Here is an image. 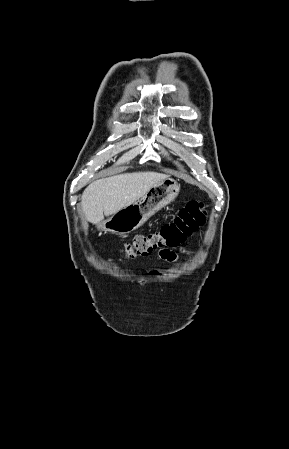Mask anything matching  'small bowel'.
I'll use <instances>...</instances> for the list:
<instances>
[{
	"label": "small bowel",
	"mask_w": 289,
	"mask_h": 449,
	"mask_svg": "<svg viewBox=\"0 0 289 449\" xmlns=\"http://www.w3.org/2000/svg\"><path fill=\"white\" fill-rule=\"evenodd\" d=\"M159 256L161 259L171 263L178 259V254L170 249H161L159 251Z\"/></svg>",
	"instance_id": "c3829d8e"
}]
</instances>
